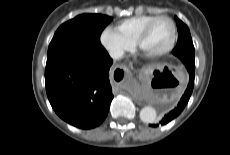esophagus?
Returning <instances> with one entry per match:
<instances>
[{
  "mask_svg": "<svg viewBox=\"0 0 230 155\" xmlns=\"http://www.w3.org/2000/svg\"><path fill=\"white\" fill-rule=\"evenodd\" d=\"M125 70V73L127 74L128 73V70L126 68H123Z\"/></svg>",
  "mask_w": 230,
  "mask_h": 155,
  "instance_id": "34e87169",
  "label": "esophagus"
}]
</instances>
